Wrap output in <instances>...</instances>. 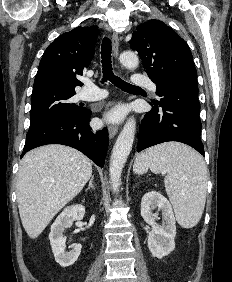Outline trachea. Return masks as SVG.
Instances as JSON below:
<instances>
[{"label":"trachea","instance_id":"trachea-1","mask_svg":"<svg viewBox=\"0 0 232 282\" xmlns=\"http://www.w3.org/2000/svg\"><path fill=\"white\" fill-rule=\"evenodd\" d=\"M111 40L108 37H104L101 45V63H102V70H103V82L110 81L116 87L120 88L121 90H132L138 89L139 87L131 85L130 83L125 82L120 77L114 75L113 68H112V60H111Z\"/></svg>","mask_w":232,"mask_h":282}]
</instances>
